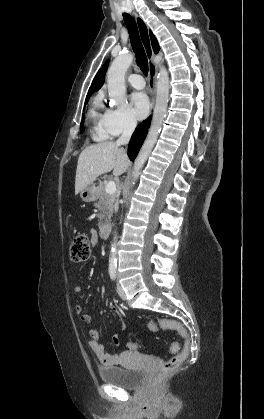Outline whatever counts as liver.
I'll use <instances>...</instances> for the list:
<instances>
[{
	"label": "liver",
	"instance_id": "liver-1",
	"mask_svg": "<svg viewBox=\"0 0 264 419\" xmlns=\"http://www.w3.org/2000/svg\"><path fill=\"white\" fill-rule=\"evenodd\" d=\"M129 165L126 151L115 142H100L85 148L78 158L75 194L92 184L101 174L113 170L114 176H120L127 171Z\"/></svg>",
	"mask_w": 264,
	"mask_h": 419
}]
</instances>
